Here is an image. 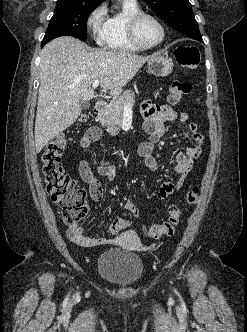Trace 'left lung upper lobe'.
Listing matches in <instances>:
<instances>
[{"label":"left lung upper lobe","instance_id":"5c2ea615","mask_svg":"<svg viewBox=\"0 0 247 332\" xmlns=\"http://www.w3.org/2000/svg\"><path fill=\"white\" fill-rule=\"evenodd\" d=\"M172 28L199 42H203L198 23L189 0H144Z\"/></svg>","mask_w":247,"mask_h":332}]
</instances>
